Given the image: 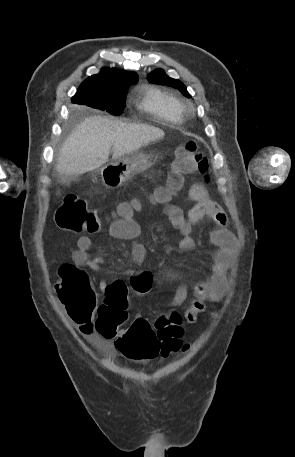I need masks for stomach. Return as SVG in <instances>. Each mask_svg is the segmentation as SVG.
Returning <instances> with one entry per match:
<instances>
[{
	"label": "stomach",
	"instance_id": "1",
	"mask_svg": "<svg viewBox=\"0 0 295 457\" xmlns=\"http://www.w3.org/2000/svg\"><path fill=\"white\" fill-rule=\"evenodd\" d=\"M151 155L141 151L132 152L113 160L100 169L103 184L108 188H117L136 173L151 166Z\"/></svg>",
	"mask_w": 295,
	"mask_h": 457
}]
</instances>
